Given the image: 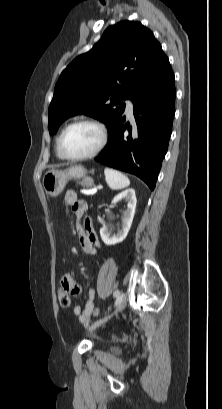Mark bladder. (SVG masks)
Segmentation results:
<instances>
[{"mask_svg": "<svg viewBox=\"0 0 222 409\" xmlns=\"http://www.w3.org/2000/svg\"><path fill=\"white\" fill-rule=\"evenodd\" d=\"M113 351H114V353H117V350H116V349H113Z\"/></svg>", "mask_w": 222, "mask_h": 409, "instance_id": "1", "label": "bladder"}]
</instances>
